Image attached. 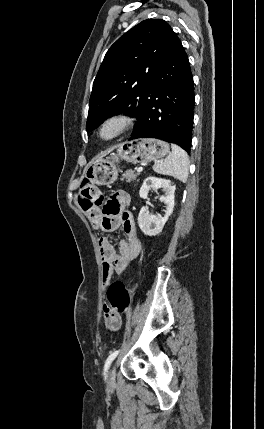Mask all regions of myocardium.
I'll use <instances>...</instances> for the list:
<instances>
[{
    "label": "myocardium",
    "mask_w": 264,
    "mask_h": 429,
    "mask_svg": "<svg viewBox=\"0 0 264 429\" xmlns=\"http://www.w3.org/2000/svg\"><path fill=\"white\" fill-rule=\"evenodd\" d=\"M132 119L124 114H113L99 124L96 136L100 141L109 142L125 134L131 127Z\"/></svg>",
    "instance_id": "f54148a6"
}]
</instances>
